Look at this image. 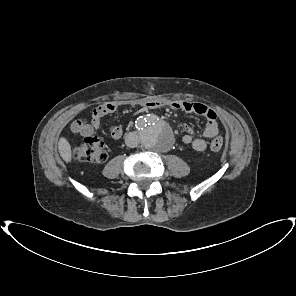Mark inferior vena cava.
Masks as SVG:
<instances>
[{
  "instance_id": "1",
  "label": "inferior vena cava",
  "mask_w": 296,
  "mask_h": 296,
  "mask_svg": "<svg viewBox=\"0 0 296 296\" xmlns=\"http://www.w3.org/2000/svg\"><path fill=\"white\" fill-rule=\"evenodd\" d=\"M125 144L129 148H135L139 144V137L136 132H130L125 137Z\"/></svg>"
}]
</instances>
